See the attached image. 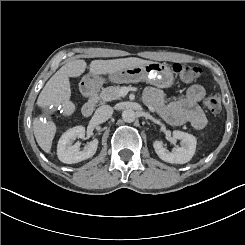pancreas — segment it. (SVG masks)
I'll return each mask as SVG.
<instances>
[{
  "mask_svg": "<svg viewBox=\"0 0 245 245\" xmlns=\"http://www.w3.org/2000/svg\"><path fill=\"white\" fill-rule=\"evenodd\" d=\"M115 99L117 100L121 99L120 88L109 86L107 88H103L100 94L92 95L89 98L88 103L97 104L99 101L106 102V101H112Z\"/></svg>",
  "mask_w": 245,
  "mask_h": 245,
  "instance_id": "1",
  "label": "pancreas"
}]
</instances>
